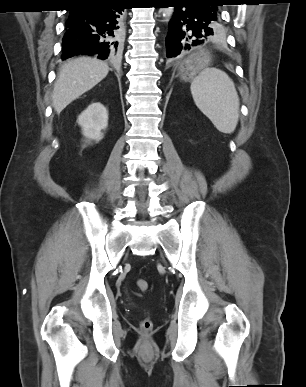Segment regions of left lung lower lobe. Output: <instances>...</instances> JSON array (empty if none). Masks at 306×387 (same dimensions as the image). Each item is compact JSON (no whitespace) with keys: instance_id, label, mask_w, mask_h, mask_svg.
Masks as SVG:
<instances>
[{"instance_id":"obj_1","label":"left lung lower lobe","mask_w":306,"mask_h":387,"mask_svg":"<svg viewBox=\"0 0 306 387\" xmlns=\"http://www.w3.org/2000/svg\"><path fill=\"white\" fill-rule=\"evenodd\" d=\"M175 7L166 38L167 58L176 63L177 56L202 44L220 24V0H163Z\"/></svg>"}]
</instances>
